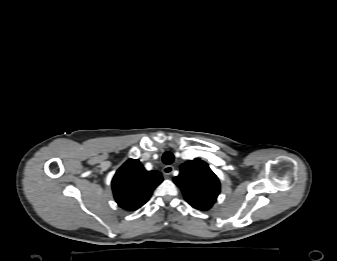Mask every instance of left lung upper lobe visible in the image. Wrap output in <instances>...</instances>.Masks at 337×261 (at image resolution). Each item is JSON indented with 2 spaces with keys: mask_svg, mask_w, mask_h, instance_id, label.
I'll return each instance as SVG.
<instances>
[{
  "mask_svg": "<svg viewBox=\"0 0 337 261\" xmlns=\"http://www.w3.org/2000/svg\"><path fill=\"white\" fill-rule=\"evenodd\" d=\"M180 174L173 178L185 200L195 209L207 211L220 193V183L208 164L199 158L180 166Z\"/></svg>",
  "mask_w": 337,
  "mask_h": 261,
  "instance_id": "1",
  "label": "left lung upper lobe"
}]
</instances>
